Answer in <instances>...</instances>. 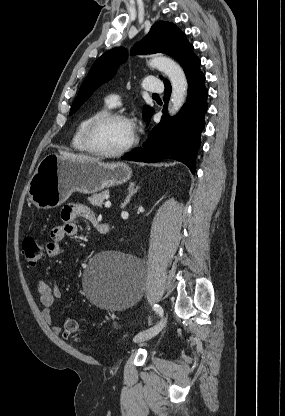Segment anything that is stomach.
<instances>
[{
  "label": "stomach",
  "instance_id": "0dacf381",
  "mask_svg": "<svg viewBox=\"0 0 285 416\" xmlns=\"http://www.w3.org/2000/svg\"><path fill=\"white\" fill-rule=\"evenodd\" d=\"M131 176V168L122 162L67 160L58 154H49L38 164L27 190L36 208L51 210L66 202L72 192L96 194L104 188L124 184Z\"/></svg>",
  "mask_w": 285,
  "mask_h": 416
}]
</instances>
